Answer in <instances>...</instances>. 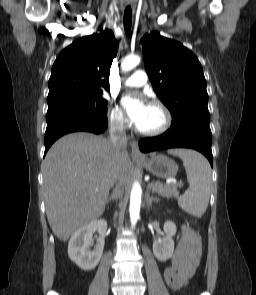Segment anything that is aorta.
<instances>
[{"label":"aorta","mask_w":256,"mask_h":295,"mask_svg":"<svg viewBox=\"0 0 256 295\" xmlns=\"http://www.w3.org/2000/svg\"><path fill=\"white\" fill-rule=\"evenodd\" d=\"M141 59L137 55H129L125 57L121 63V69L122 71H130L131 69L135 68L139 63ZM141 196H142V189L139 184V182L135 181L133 183L131 194H130V207H129V213H130V220L131 225L135 226L137 223V220L140 216V206H141Z\"/></svg>","instance_id":"aorta-1"}]
</instances>
